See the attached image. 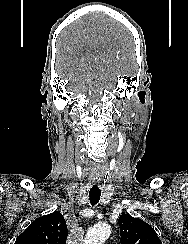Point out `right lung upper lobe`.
<instances>
[{
  "label": "right lung upper lobe",
  "instance_id": "1",
  "mask_svg": "<svg viewBox=\"0 0 188 244\" xmlns=\"http://www.w3.org/2000/svg\"><path fill=\"white\" fill-rule=\"evenodd\" d=\"M68 236L66 221L55 211L37 218L20 234L15 244H65Z\"/></svg>",
  "mask_w": 188,
  "mask_h": 244
}]
</instances>
